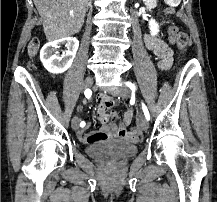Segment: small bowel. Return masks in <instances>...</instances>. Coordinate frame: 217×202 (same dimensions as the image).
Listing matches in <instances>:
<instances>
[{
	"instance_id": "1",
	"label": "small bowel",
	"mask_w": 217,
	"mask_h": 202,
	"mask_svg": "<svg viewBox=\"0 0 217 202\" xmlns=\"http://www.w3.org/2000/svg\"><path fill=\"white\" fill-rule=\"evenodd\" d=\"M145 43L150 51H152L159 59V67L163 70L169 69L172 64V51L165 42L154 36H146ZM107 98L106 95L101 94L96 101V109H98V117L104 123L103 127L98 131H93L84 134L79 131L77 133L78 139L84 143L95 144L99 143L106 138L125 140L129 142H138L142 136V131H129V126L132 122L134 111L128 108L123 113L122 122L116 125L113 121L116 119L117 114L115 101H100ZM101 109L102 113H99ZM111 121V122H110Z\"/></svg>"
}]
</instances>
